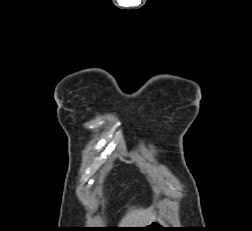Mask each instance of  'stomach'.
Wrapping results in <instances>:
<instances>
[{"instance_id":"0dacf381","label":"stomach","mask_w":252,"mask_h":231,"mask_svg":"<svg viewBox=\"0 0 252 231\" xmlns=\"http://www.w3.org/2000/svg\"><path fill=\"white\" fill-rule=\"evenodd\" d=\"M142 228H145L141 229L143 231H158V230H166L164 228H170V227H168L167 224L160 217H156L150 224Z\"/></svg>"}]
</instances>
